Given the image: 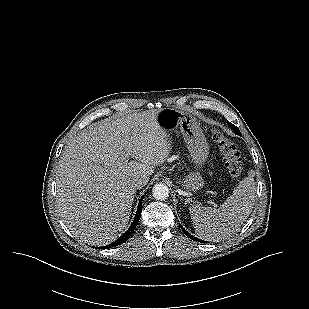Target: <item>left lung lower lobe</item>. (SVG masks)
Here are the masks:
<instances>
[{
  "label": "left lung lower lobe",
  "instance_id": "obj_1",
  "mask_svg": "<svg viewBox=\"0 0 309 309\" xmlns=\"http://www.w3.org/2000/svg\"><path fill=\"white\" fill-rule=\"evenodd\" d=\"M181 228H182L183 232H184L190 239H193V240H195V241H199L197 238H194V237L191 236L189 233H187V231H185V230L183 229V227H181Z\"/></svg>",
  "mask_w": 309,
  "mask_h": 309
}]
</instances>
